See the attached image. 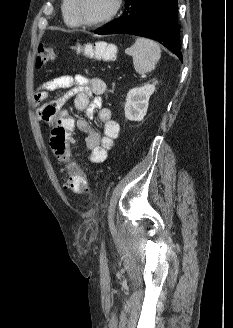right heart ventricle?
<instances>
[{
	"label": "right heart ventricle",
	"mask_w": 233,
	"mask_h": 328,
	"mask_svg": "<svg viewBox=\"0 0 233 328\" xmlns=\"http://www.w3.org/2000/svg\"><path fill=\"white\" fill-rule=\"evenodd\" d=\"M62 15L65 24L71 28L80 26L74 14V0H63Z\"/></svg>",
	"instance_id": "e07e8e85"
}]
</instances>
